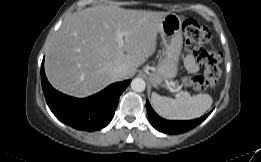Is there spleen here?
Listing matches in <instances>:
<instances>
[{
	"label": "spleen",
	"mask_w": 261,
	"mask_h": 162,
	"mask_svg": "<svg viewBox=\"0 0 261 162\" xmlns=\"http://www.w3.org/2000/svg\"><path fill=\"white\" fill-rule=\"evenodd\" d=\"M155 111L170 120H190L202 116L212 105L209 94L188 96L177 95L175 99L163 97L153 92L151 96Z\"/></svg>",
	"instance_id": "3e777b00"
}]
</instances>
